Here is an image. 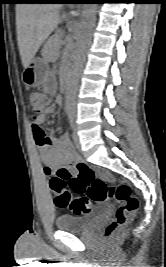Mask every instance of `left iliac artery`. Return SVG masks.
<instances>
[{
    "label": "left iliac artery",
    "instance_id": "44dca946",
    "mask_svg": "<svg viewBox=\"0 0 166 267\" xmlns=\"http://www.w3.org/2000/svg\"><path fill=\"white\" fill-rule=\"evenodd\" d=\"M69 122L71 127H73L74 125V114L73 113H69Z\"/></svg>",
    "mask_w": 166,
    "mask_h": 267
}]
</instances>
